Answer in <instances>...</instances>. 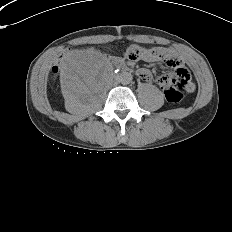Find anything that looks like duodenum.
Segmentation results:
<instances>
[{"label": "duodenum", "mask_w": 232, "mask_h": 232, "mask_svg": "<svg viewBox=\"0 0 232 232\" xmlns=\"http://www.w3.org/2000/svg\"><path fill=\"white\" fill-rule=\"evenodd\" d=\"M116 67L121 71L130 72V67L126 63L118 61Z\"/></svg>", "instance_id": "obj_1"}]
</instances>
